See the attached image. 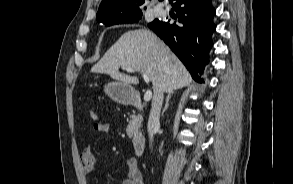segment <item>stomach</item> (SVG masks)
Masks as SVG:
<instances>
[{
	"instance_id": "0dacf381",
	"label": "stomach",
	"mask_w": 293,
	"mask_h": 184,
	"mask_svg": "<svg viewBox=\"0 0 293 184\" xmlns=\"http://www.w3.org/2000/svg\"><path fill=\"white\" fill-rule=\"evenodd\" d=\"M104 92L119 104H130L138 95L137 91L131 85L123 82H110L106 84L104 86Z\"/></svg>"
}]
</instances>
